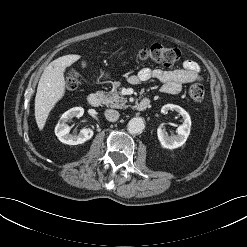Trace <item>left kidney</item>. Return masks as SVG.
Segmentation results:
<instances>
[{"mask_svg": "<svg viewBox=\"0 0 247 247\" xmlns=\"http://www.w3.org/2000/svg\"><path fill=\"white\" fill-rule=\"evenodd\" d=\"M169 110H175L178 112L182 116L184 122L177 128V135L175 136H169L161 127L158 128L157 135L163 148L176 149L181 147L189 136L191 129V118L189 114L178 105L166 104L162 107L161 112L166 114Z\"/></svg>", "mask_w": 247, "mask_h": 247, "instance_id": "1", "label": "left kidney"}]
</instances>
